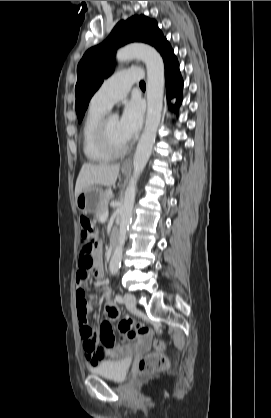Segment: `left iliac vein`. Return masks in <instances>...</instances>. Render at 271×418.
I'll return each mask as SVG.
<instances>
[{
    "instance_id": "obj_1",
    "label": "left iliac vein",
    "mask_w": 271,
    "mask_h": 418,
    "mask_svg": "<svg viewBox=\"0 0 271 418\" xmlns=\"http://www.w3.org/2000/svg\"><path fill=\"white\" fill-rule=\"evenodd\" d=\"M125 305L126 308L130 311H134L136 309V298L131 293L125 294Z\"/></svg>"
}]
</instances>
